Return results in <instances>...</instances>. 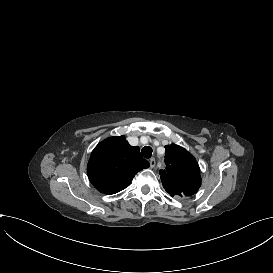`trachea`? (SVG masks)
Instances as JSON below:
<instances>
[{
	"label": "trachea",
	"instance_id": "1",
	"mask_svg": "<svg viewBox=\"0 0 273 273\" xmlns=\"http://www.w3.org/2000/svg\"><path fill=\"white\" fill-rule=\"evenodd\" d=\"M141 153L144 158H150L152 156V148L149 146H145L142 148Z\"/></svg>",
	"mask_w": 273,
	"mask_h": 273
}]
</instances>
